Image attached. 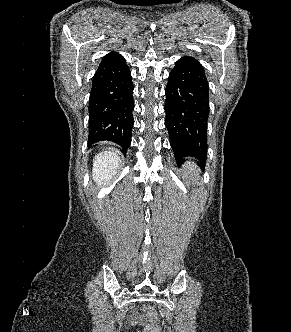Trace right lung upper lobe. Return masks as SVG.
Returning <instances> with one entry per match:
<instances>
[{"instance_id": "cb5924a9", "label": "right lung upper lobe", "mask_w": 291, "mask_h": 332, "mask_svg": "<svg viewBox=\"0 0 291 332\" xmlns=\"http://www.w3.org/2000/svg\"><path fill=\"white\" fill-rule=\"evenodd\" d=\"M122 57L121 55L117 54V53H113L111 52L110 54L106 55L102 61H105V60H111V59H116V58H120Z\"/></svg>"}]
</instances>
